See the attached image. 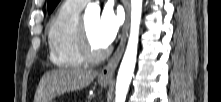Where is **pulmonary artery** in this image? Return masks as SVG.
Wrapping results in <instances>:
<instances>
[{"label":"pulmonary artery","mask_w":221,"mask_h":102,"mask_svg":"<svg viewBox=\"0 0 221 102\" xmlns=\"http://www.w3.org/2000/svg\"><path fill=\"white\" fill-rule=\"evenodd\" d=\"M76 1L79 4L85 5L87 2H89V0H73Z\"/></svg>","instance_id":"pulmonary-artery-1"}]
</instances>
